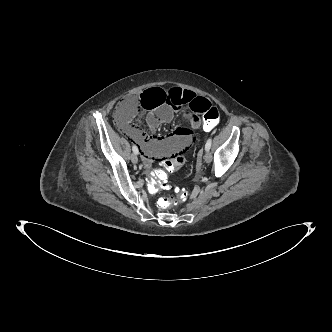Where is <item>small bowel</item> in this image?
I'll use <instances>...</instances> for the list:
<instances>
[{
    "label": "small bowel",
    "mask_w": 332,
    "mask_h": 332,
    "mask_svg": "<svg viewBox=\"0 0 332 332\" xmlns=\"http://www.w3.org/2000/svg\"><path fill=\"white\" fill-rule=\"evenodd\" d=\"M139 111L146 116L150 133L141 127L122 125L118 127L140 148L144 162L150 166L154 161L171 159L186 151L193 139L192 129H198L199 115L211 106V102L190 90L172 87L169 90L161 84H152L143 90L137 99ZM181 111L190 128H179L169 136L155 134L157 128L169 122L174 112Z\"/></svg>",
    "instance_id": "obj_1"
}]
</instances>
